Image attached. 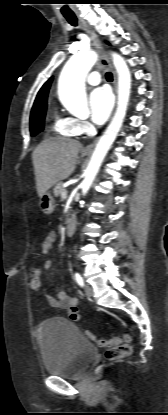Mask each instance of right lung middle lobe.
<instances>
[{
    "label": "right lung middle lobe",
    "instance_id": "dd1d6c3e",
    "mask_svg": "<svg viewBox=\"0 0 168 415\" xmlns=\"http://www.w3.org/2000/svg\"><path fill=\"white\" fill-rule=\"evenodd\" d=\"M46 113V106L40 109L31 111L30 117V132L32 136L43 130L44 118Z\"/></svg>",
    "mask_w": 168,
    "mask_h": 415
}]
</instances>
